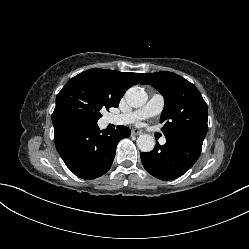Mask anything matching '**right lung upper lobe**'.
I'll return each instance as SVG.
<instances>
[{
	"instance_id": "right-lung-upper-lobe-1",
	"label": "right lung upper lobe",
	"mask_w": 249,
	"mask_h": 249,
	"mask_svg": "<svg viewBox=\"0 0 249 249\" xmlns=\"http://www.w3.org/2000/svg\"><path fill=\"white\" fill-rule=\"evenodd\" d=\"M145 74L125 73L114 70L93 68L84 71L70 81H86L103 93L112 104L118 106L121 98L131 86L143 83Z\"/></svg>"
}]
</instances>
